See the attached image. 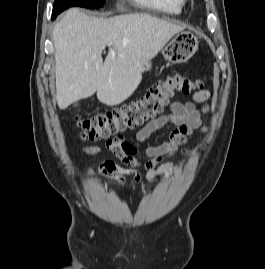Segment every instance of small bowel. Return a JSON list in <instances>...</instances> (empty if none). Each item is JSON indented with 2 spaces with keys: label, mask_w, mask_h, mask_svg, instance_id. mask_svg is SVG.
I'll use <instances>...</instances> for the list:
<instances>
[{
  "label": "small bowel",
  "mask_w": 265,
  "mask_h": 269,
  "mask_svg": "<svg viewBox=\"0 0 265 269\" xmlns=\"http://www.w3.org/2000/svg\"><path fill=\"white\" fill-rule=\"evenodd\" d=\"M211 97V92L202 89L194 93L192 101L179 102L175 101L169 104L171 113L162 115L141 128L136 134L138 146L130 143L124 137L119 136L109 140L106 144L109 150L123 165H117L113 160L108 159L99 166L100 172L109 178L108 187L124 186L126 184L125 176L132 174L135 181H139L141 175L140 169H144L146 179L154 182L161 176L167 178L172 175L175 169L171 159L180 149L187 144L189 137L194 130L202 128L200 112L196 109L195 104L205 103ZM206 107L204 111H207ZM173 126L169 134V140L158 146L146 145L145 141L155 134L158 130ZM84 152L89 155L99 153L102 148L97 145H88L83 148ZM188 152L187 148L183 153ZM140 153L148 156V160L141 162L137 159ZM88 173H91L89 170Z\"/></svg>",
  "instance_id": "1"
}]
</instances>
